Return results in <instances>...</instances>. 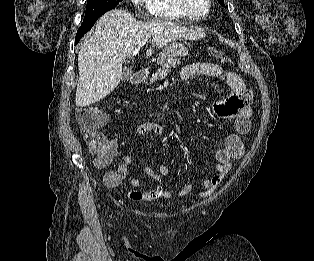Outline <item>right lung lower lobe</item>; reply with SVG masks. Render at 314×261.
Listing matches in <instances>:
<instances>
[{
    "label": "right lung lower lobe",
    "mask_w": 314,
    "mask_h": 261,
    "mask_svg": "<svg viewBox=\"0 0 314 261\" xmlns=\"http://www.w3.org/2000/svg\"><path fill=\"white\" fill-rule=\"evenodd\" d=\"M95 22H96V20L93 21V22L90 23V24L82 25V26L78 29L77 35H76V39H75V45L79 42L80 38H81L86 32H88V31L92 28V26L94 25Z\"/></svg>",
    "instance_id": "1"
}]
</instances>
